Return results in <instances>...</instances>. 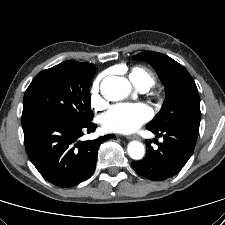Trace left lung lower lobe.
<instances>
[{
	"mask_svg": "<svg viewBox=\"0 0 225 225\" xmlns=\"http://www.w3.org/2000/svg\"><path fill=\"white\" fill-rule=\"evenodd\" d=\"M157 137H163L154 150L151 141L146 140L147 150L143 160L133 161V169L141 176L150 180H165L177 174L191 157L199 131L167 127L160 130L149 129Z\"/></svg>",
	"mask_w": 225,
	"mask_h": 225,
	"instance_id": "1",
	"label": "left lung lower lobe"
}]
</instances>
